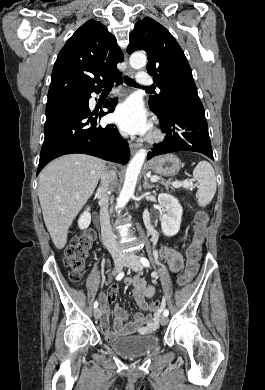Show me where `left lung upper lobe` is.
Masks as SVG:
<instances>
[{"mask_svg":"<svg viewBox=\"0 0 265 390\" xmlns=\"http://www.w3.org/2000/svg\"><path fill=\"white\" fill-rule=\"evenodd\" d=\"M127 52L143 50L148 54L147 71L161 92L149 97V107L160 114L168 100L198 96L191 67L170 32L152 18L139 20L129 34Z\"/></svg>","mask_w":265,"mask_h":390,"instance_id":"5c2ea615","label":"left lung upper lobe"}]
</instances>
